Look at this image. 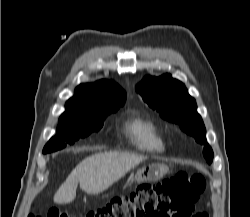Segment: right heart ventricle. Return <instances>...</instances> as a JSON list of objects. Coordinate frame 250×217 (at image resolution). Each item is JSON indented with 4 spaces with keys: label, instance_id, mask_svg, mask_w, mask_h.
Masks as SVG:
<instances>
[{
    "label": "right heart ventricle",
    "instance_id": "1",
    "mask_svg": "<svg viewBox=\"0 0 250 217\" xmlns=\"http://www.w3.org/2000/svg\"><path fill=\"white\" fill-rule=\"evenodd\" d=\"M124 133L137 150L161 153L166 148L164 136L157 125L139 116H134L125 123Z\"/></svg>",
    "mask_w": 250,
    "mask_h": 217
}]
</instances>
